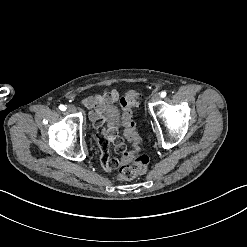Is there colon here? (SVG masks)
<instances>
[{
    "instance_id": "1",
    "label": "colon",
    "mask_w": 247,
    "mask_h": 247,
    "mask_svg": "<svg viewBox=\"0 0 247 247\" xmlns=\"http://www.w3.org/2000/svg\"><path fill=\"white\" fill-rule=\"evenodd\" d=\"M138 98V93L130 91L120 99V104L123 109L122 120L124 125V137L130 143L132 150L123 153L121 163L123 165L130 164L131 170L129 172H123L121 169H119V172H115L113 174V179L115 181H120L122 178L134 179L138 176L143 175L149 163L148 156L144 157L142 155H136V152L140 150V137L132 121V105Z\"/></svg>"
}]
</instances>
